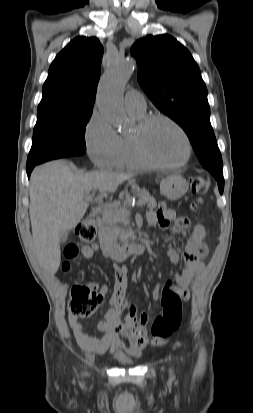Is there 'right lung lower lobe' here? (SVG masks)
<instances>
[{
    "label": "right lung lower lobe",
    "instance_id": "1",
    "mask_svg": "<svg viewBox=\"0 0 253 413\" xmlns=\"http://www.w3.org/2000/svg\"><path fill=\"white\" fill-rule=\"evenodd\" d=\"M35 166H36V165L27 166V175H28V178L30 177L31 171L33 170V168H34Z\"/></svg>",
    "mask_w": 253,
    "mask_h": 413
}]
</instances>
